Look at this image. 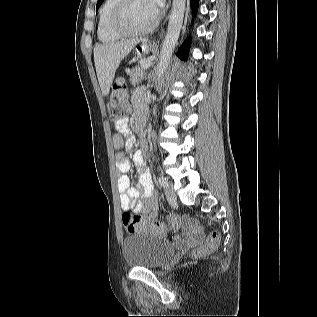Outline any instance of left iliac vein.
Wrapping results in <instances>:
<instances>
[{
  "label": "left iliac vein",
  "mask_w": 317,
  "mask_h": 317,
  "mask_svg": "<svg viewBox=\"0 0 317 317\" xmlns=\"http://www.w3.org/2000/svg\"><path fill=\"white\" fill-rule=\"evenodd\" d=\"M165 194H166L167 200L170 203L176 202L177 196H176V193H175V190H174L172 184L167 183V185L165 186Z\"/></svg>",
  "instance_id": "1"
}]
</instances>
